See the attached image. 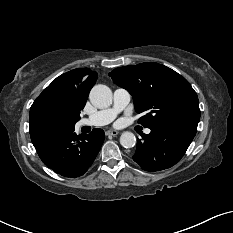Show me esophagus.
I'll return each instance as SVG.
<instances>
[{"label":"esophagus","instance_id":"esophagus-1","mask_svg":"<svg viewBox=\"0 0 233 233\" xmlns=\"http://www.w3.org/2000/svg\"><path fill=\"white\" fill-rule=\"evenodd\" d=\"M118 134H119V132L116 131V130H108V131L106 132V135H107V136H117Z\"/></svg>","mask_w":233,"mask_h":233}]
</instances>
